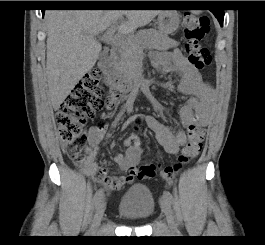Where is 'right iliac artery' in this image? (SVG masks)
I'll use <instances>...</instances> for the list:
<instances>
[{"label": "right iliac artery", "mask_w": 265, "mask_h": 245, "mask_svg": "<svg viewBox=\"0 0 265 245\" xmlns=\"http://www.w3.org/2000/svg\"><path fill=\"white\" fill-rule=\"evenodd\" d=\"M103 198V191L101 189L97 190L93 196L92 204L97 206L100 200Z\"/></svg>", "instance_id": "82829eb1"}]
</instances>
